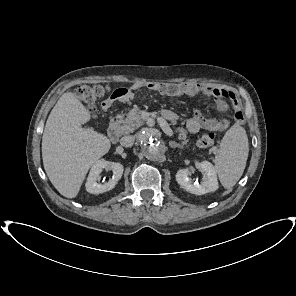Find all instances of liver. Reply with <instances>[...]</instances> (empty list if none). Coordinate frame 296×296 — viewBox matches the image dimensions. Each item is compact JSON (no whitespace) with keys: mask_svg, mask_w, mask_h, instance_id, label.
Segmentation results:
<instances>
[{"mask_svg":"<svg viewBox=\"0 0 296 296\" xmlns=\"http://www.w3.org/2000/svg\"><path fill=\"white\" fill-rule=\"evenodd\" d=\"M91 119L89 110L72 92L64 93L52 109L42 137L46 174L67 198L77 196L90 167L105 155L111 143L107 136L82 125Z\"/></svg>","mask_w":296,"mask_h":296,"instance_id":"1","label":"liver"}]
</instances>
